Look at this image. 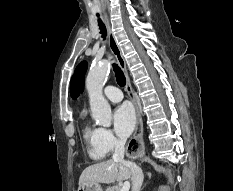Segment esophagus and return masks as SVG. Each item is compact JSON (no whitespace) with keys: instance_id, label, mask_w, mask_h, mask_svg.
<instances>
[{"instance_id":"34e87169","label":"esophagus","mask_w":233,"mask_h":191,"mask_svg":"<svg viewBox=\"0 0 233 191\" xmlns=\"http://www.w3.org/2000/svg\"><path fill=\"white\" fill-rule=\"evenodd\" d=\"M106 19V24L108 28V43L111 52L113 53L118 65L122 69L125 78H126V91L128 93L129 98L131 99L135 111H136V127L133 136L128 142V151H127V156H142V151H143V119L141 116L140 108L136 99V96L133 92L132 85L130 82V78L128 75L127 67H126V62L123 57V54L121 52L120 47L117 44V41L115 39V36L112 32L111 25L109 22L108 17H105Z\"/></svg>"}]
</instances>
